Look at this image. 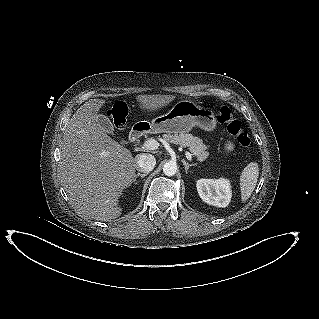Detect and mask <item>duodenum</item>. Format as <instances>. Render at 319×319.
I'll use <instances>...</instances> for the list:
<instances>
[{"instance_id":"obj_1","label":"duodenum","mask_w":319,"mask_h":319,"mask_svg":"<svg viewBox=\"0 0 319 319\" xmlns=\"http://www.w3.org/2000/svg\"><path fill=\"white\" fill-rule=\"evenodd\" d=\"M149 130H150L149 124L141 123V124L135 125L129 133V141L130 142L137 141L142 135H144Z\"/></svg>"}]
</instances>
